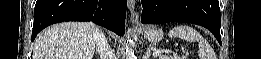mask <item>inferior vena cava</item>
Instances as JSON below:
<instances>
[{
  "instance_id": "1",
  "label": "inferior vena cava",
  "mask_w": 261,
  "mask_h": 59,
  "mask_svg": "<svg viewBox=\"0 0 261 59\" xmlns=\"http://www.w3.org/2000/svg\"><path fill=\"white\" fill-rule=\"evenodd\" d=\"M94 40L96 51L98 52L100 59H116V56L111 50L104 33L98 28L94 31Z\"/></svg>"
}]
</instances>
